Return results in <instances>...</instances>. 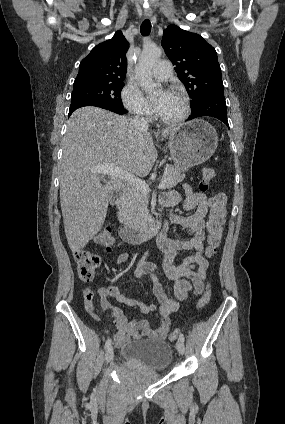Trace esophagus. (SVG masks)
<instances>
[{
	"instance_id": "34e87169",
	"label": "esophagus",
	"mask_w": 285,
	"mask_h": 424,
	"mask_svg": "<svg viewBox=\"0 0 285 424\" xmlns=\"http://www.w3.org/2000/svg\"><path fill=\"white\" fill-rule=\"evenodd\" d=\"M146 18H150L152 16V12L151 11H145L144 13Z\"/></svg>"
}]
</instances>
